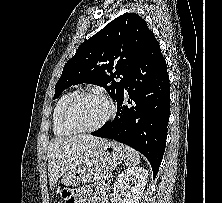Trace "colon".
<instances>
[{"label":"colon","instance_id":"colon-1","mask_svg":"<svg viewBox=\"0 0 222 203\" xmlns=\"http://www.w3.org/2000/svg\"><path fill=\"white\" fill-rule=\"evenodd\" d=\"M65 200H66V203H74V197H73V194L69 191H66L64 194H63Z\"/></svg>","mask_w":222,"mask_h":203}]
</instances>
